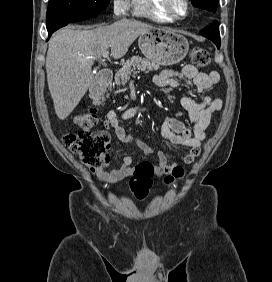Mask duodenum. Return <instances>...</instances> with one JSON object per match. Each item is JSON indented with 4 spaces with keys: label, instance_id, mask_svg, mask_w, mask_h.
Returning <instances> with one entry per match:
<instances>
[{
    "label": "duodenum",
    "instance_id": "410a0bca",
    "mask_svg": "<svg viewBox=\"0 0 272 282\" xmlns=\"http://www.w3.org/2000/svg\"><path fill=\"white\" fill-rule=\"evenodd\" d=\"M112 80V73L110 71L101 72L96 78L95 82L89 87V93L94 101H99L103 93Z\"/></svg>",
    "mask_w": 272,
    "mask_h": 282
}]
</instances>
